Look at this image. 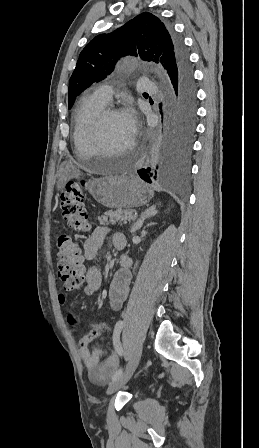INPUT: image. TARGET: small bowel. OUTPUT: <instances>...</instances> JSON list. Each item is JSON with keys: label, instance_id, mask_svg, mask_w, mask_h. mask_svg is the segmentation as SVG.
I'll return each instance as SVG.
<instances>
[{"label": "small bowel", "instance_id": "small-bowel-1", "mask_svg": "<svg viewBox=\"0 0 259 448\" xmlns=\"http://www.w3.org/2000/svg\"><path fill=\"white\" fill-rule=\"evenodd\" d=\"M108 230L106 227H98L92 235L87 238L83 244V257L86 260L93 261L99 252V249L103 245L107 236ZM113 245L117 249H123L126 245V240L123 235L115 234L113 236ZM121 267L118 269L110 283L108 290V303L112 310H120L125 302L131 283V260L128 256L122 255L120 259ZM101 272L96 266H90L86 270V282L88 291L91 294L96 293L101 286ZM59 302L66 304L67 299L65 295H59ZM67 322L71 326H77L80 324L77 316L69 312L67 316ZM90 332L95 333L96 337L108 332L109 327L105 324L89 325ZM80 357L88 369V375L91 381L96 383L104 382L111 374L119 369V359L113 354L112 349L91 350L88 347V341L86 336L79 338ZM102 360V361H101Z\"/></svg>", "mask_w": 259, "mask_h": 448}]
</instances>
